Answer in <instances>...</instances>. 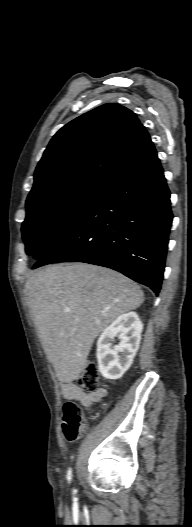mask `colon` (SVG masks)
I'll list each match as a JSON object with an SVG mask.
<instances>
[{
  "instance_id": "colon-1",
  "label": "colon",
  "mask_w": 192,
  "mask_h": 527,
  "mask_svg": "<svg viewBox=\"0 0 192 527\" xmlns=\"http://www.w3.org/2000/svg\"><path fill=\"white\" fill-rule=\"evenodd\" d=\"M77 386L86 392H94L99 387V370L94 362H87L76 380ZM63 433L68 442L77 440L87 428L86 416L74 402L63 405Z\"/></svg>"
}]
</instances>
